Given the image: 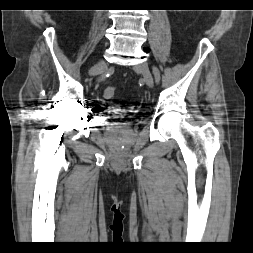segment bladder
Instances as JSON below:
<instances>
[{
    "label": "bladder",
    "instance_id": "obj_1",
    "mask_svg": "<svg viewBox=\"0 0 253 253\" xmlns=\"http://www.w3.org/2000/svg\"><path fill=\"white\" fill-rule=\"evenodd\" d=\"M124 126H126V125H118L117 127H124Z\"/></svg>",
    "mask_w": 253,
    "mask_h": 253
}]
</instances>
